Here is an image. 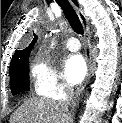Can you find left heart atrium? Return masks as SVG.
Segmentation results:
<instances>
[{"instance_id":"obj_1","label":"left heart atrium","mask_w":122,"mask_h":123,"mask_svg":"<svg viewBox=\"0 0 122 123\" xmlns=\"http://www.w3.org/2000/svg\"><path fill=\"white\" fill-rule=\"evenodd\" d=\"M64 72L69 83L72 85L80 83L87 74L84 58L79 54L68 56L64 62Z\"/></svg>"}]
</instances>
